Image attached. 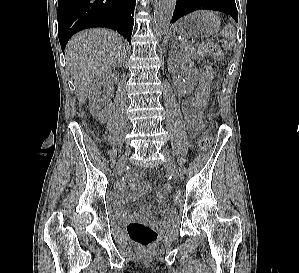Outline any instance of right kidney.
<instances>
[{
    "mask_svg": "<svg viewBox=\"0 0 299 273\" xmlns=\"http://www.w3.org/2000/svg\"><path fill=\"white\" fill-rule=\"evenodd\" d=\"M119 75L115 72H107L95 79L89 89V107L92 115L103 122L106 120L107 110L111 102L107 97H101V87L110 82H116Z\"/></svg>",
    "mask_w": 299,
    "mask_h": 273,
    "instance_id": "ca27d5eb",
    "label": "right kidney"
}]
</instances>
